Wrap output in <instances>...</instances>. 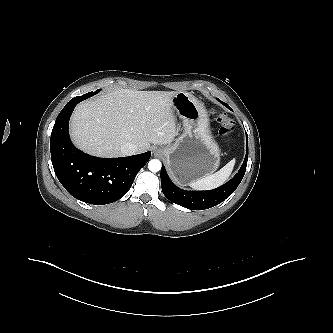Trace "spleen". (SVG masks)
Here are the masks:
<instances>
[{
  "mask_svg": "<svg viewBox=\"0 0 333 333\" xmlns=\"http://www.w3.org/2000/svg\"><path fill=\"white\" fill-rule=\"evenodd\" d=\"M235 162V159L231 160L218 172L189 182V186L196 190H210L222 185L231 175Z\"/></svg>",
  "mask_w": 333,
  "mask_h": 333,
  "instance_id": "1",
  "label": "spleen"
}]
</instances>
